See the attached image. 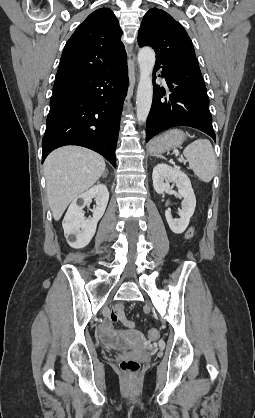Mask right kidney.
Listing matches in <instances>:
<instances>
[{
    "label": "right kidney",
    "mask_w": 255,
    "mask_h": 418,
    "mask_svg": "<svg viewBox=\"0 0 255 418\" xmlns=\"http://www.w3.org/2000/svg\"><path fill=\"white\" fill-rule=\"evenodd\" d=\"M93 198L96 201L93 217L85 220L83 208ZM108 200L107 187L104 184H98L72 201L62 223L65 238L71 247L79 249L89 244L96 232L97 223L105 212Z\"/></svg>",
    "instance_id": "1"
}]
</instances>
